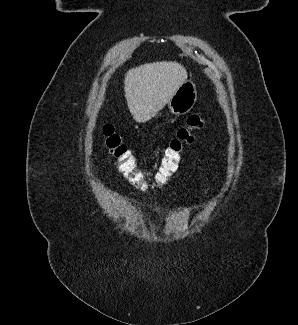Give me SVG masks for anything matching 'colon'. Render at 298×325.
<instances>
[{
	"mask_svg": "<svg viewBox=\"0 0 298 325\" xmlns=\"http://www.w3.org/2000/svg\"><path fill=\"white\" fill-rule=\"evenodd\" d=\"M204 125L203 115L195 113L190 115L186 124L180 127L175 136L165 148L160 164L155 173V181L158 186L168 183L172 174L176 171L186 145L194 140V132ZM105 145L111 156L117 163L120 173L137 189L147 190L149 187L147 177L139 167L131 150L121 141L114 127L107 124L103 127Z\"/></svg>",
	"mask_w": 298,
	"mask_h": 325,
	"instance_id": "1",
	"label": "colon"
}]
</instances>
